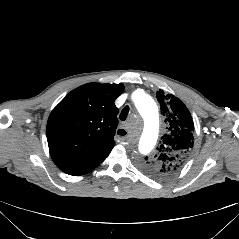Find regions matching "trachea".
Returning a JSON list of instances; mask_svg holds the SVG:
<instances>
[{"label": "trachea", "instance_id": "obj_1", "mask_svg": "<svg viewBox=\"0 0 239 239\" xmlns=\"http://www.w3.org/2000/svg\"><path fill=\"white\" fill-rule=\"evenodd\" d=\"M129 113V106H125L119 116L120 120L124 121L126 120Z\"/></svg>", "mask_w": 239, "mask_h": 239}]
</instances>
